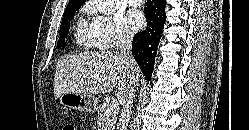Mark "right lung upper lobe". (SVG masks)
<instances>
[{
	"label": "right lung upper lobe",
	"instance_id": "cb5924a9",
	"mask_svg": "<svg viewBox=\"0 0 249 130\" xmlns=\"http://www.w3.org/2000/svg\"><path fill=\"white\" fill-rule=\"evenodd\" d=\"M84 2H85V0H69L68 5H70V4H77V5L82 6Z\"/></svg>",
	"mask_w": 249,
	"mask_h": 130
}]
</instances>
